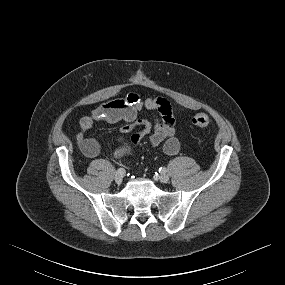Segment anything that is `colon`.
Here are the masks:
<instances>
[{
  "instance_id": "obj_1",
  "label": "colon",
  "mask_w": 285,
  "mask_h": 285,
  "mask_svg": "<svg viewBox=\"0 0 285 285\" xmlns=\"http://www.w3.org/2000/svg\"><path fill=\"white\" fill-rule=\"evenodd\" d=\"M191 122L197 128L206 129L209 126L210 120L205 113L198 112L192 115Z\"/></svg>"
}]
</instances>
